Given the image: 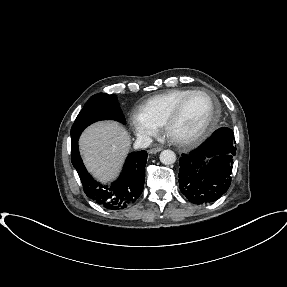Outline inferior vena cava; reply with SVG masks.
<instances>
[{"label":"inferior vena cava","mask_w":287,"mask_h":287,"mask_svg":"<svg viewBox=\"0 0 287 287\" xmlns=\"http://www.w3.org/2000/svg\"><path fill=\"white\" fill-rule=\"evenodd\" d=\"M152 143V138L147 135H138L135 143L134 148H147Z\"/></svg>","instance_id":"obj_1"}]
</instances>
